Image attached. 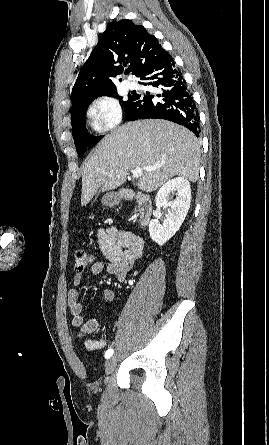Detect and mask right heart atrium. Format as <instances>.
I'll use <instances>...</instances> for the list:
<instances>
[{"label":"right heart atrium","instance_id":"right-heart-atrium-1","mask_svg":"<svg viewBox=\"0 0 269 445\" xmlns=\"http://www.w3.org/2000/svg\"><path fill=\"white\" fill-rule=\"evenodd\" d=\"M86 114L93 125L102 132L112 130L122 119L119 102L107 95L93 99L87 107Z\"/></svg>","mask_w":269,"mask_h":445}]
</instances>
